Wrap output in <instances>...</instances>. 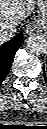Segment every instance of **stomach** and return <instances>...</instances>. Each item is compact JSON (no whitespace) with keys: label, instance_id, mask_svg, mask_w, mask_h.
<instances>
[{"label":"stomach","instance_id":"1","mask_svg":"<svg viewBox=\"0 0 47 129\" xmlns=\"http://www.w3.org/2000/svg\"><path fill=\"white\" fill-rule=\"evenodd\" d=\"M36 5L38 6V17L35 21L39 26L47 29V0H37Z\"/></svg>","mask_w":47,"mask_h":129}]
</instances>
